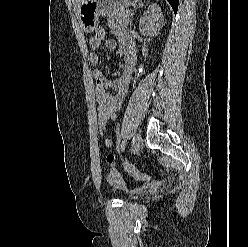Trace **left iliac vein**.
Returning <instances> with one entry per match:
<instances>
[{
  "label": "left iliac vein",
  "mask_w": 248,
  "mask_h": 247,
  "mask_svg": "<svg viewBox=\"0 0 248 247\" xmlns=\"http://www.w3.org/2000/svg\"><path fill=\"white\" fill-rule=\"evenodd\" d=\"M141 142H142L141 135L139 133H136L133 136V139H132V150L134 152H137V151L140 150V148H141Z\"/></svg>",
  "instance_id": "4c4485c4"
}]
</instances>
